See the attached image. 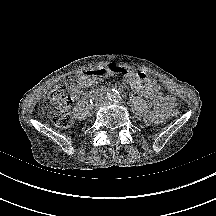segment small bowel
<instances>
[{
	"label": "small bowel",
	"instance_id": "c3829d8e",
	"mask_svg": "<svg viewBox=\"0 0 216 216\" xmlns=\"http://www.w3.org/2000/svg\"><path fill=\"white\" fill-rule=\"evenodd\" d=\"M127 82L132 90L150 99L153 102V109L147 115V122L151 124L159 123L166 116L167 112L175 105L172 96L164 95L157 82L143 72L129 73ZM74 98L80 94L75 85H70Z\"/></svg>",
	"mask_w": 216,
	"mask_h": 216
}]
</instances>
